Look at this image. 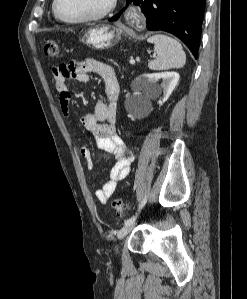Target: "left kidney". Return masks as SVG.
I'll use <instances>...</instances> for the list:
<instances>
[{
    "instance_id": "5707ae66",
    "label": "left kidney",
    "mask_w": 247,
    "mask_h": 299,
    "mask_svg": "<svg viewBox=\"0 0 247 299\" xmlns=\"http://www.w3.org/2000/svg\"><path fill=\"white\" fill-rule=\"evenodd\" d=\"M179 74L174 71L162 72V73H153L145 76L143 82V88L145 90H154L157 89V82L162 80L161 87L163 88V98L162 101L165 102L172 94L173 90L178 84Z\"/></svg>"
}]
</instances>
